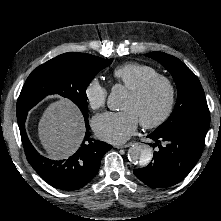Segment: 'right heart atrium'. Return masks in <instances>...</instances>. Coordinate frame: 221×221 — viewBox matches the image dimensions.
Here are the masks:
<instances>
[{"label": "right heart atrium", "instance_id": "1", "mask_svg": "<svg viewBox=\"0 0 221 221\" xmlns=\"http://www.w3.org/2000/svg\"><path fill=\"white\" fill-rule=\"evenodd\" d=\"M85 98L88 106L93 110L102 109L107 100L108 91L98 79H91L85 87Z\"/></svg>", "mask_w": 221, "mask_h": 221}]
</instances>
